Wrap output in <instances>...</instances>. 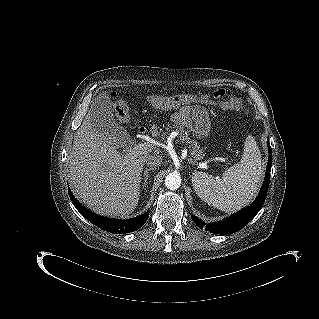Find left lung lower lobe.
I'll list each match as a JSON object with an SVG mask.
<instances>
[{
	"instance_id": "0a47b994",
	"label": "left lung lower lobe",
	"mask_w": 319,
	"mask_h": 319,
	"mask_svg": "<svg viewBox=\"0 0 319 319\" xmlns=\"http://www.w3.org/2000/svg\"><path fill=\"white\" fill-rule=\"evenodd\" d=\"M268 151H269V158H268V164L266 168V174L265 179L262 185V188L260 190V193L256 200L246 209L236 213L235 215L230 216L226 220L220 221V222H214L205 224L202 220L195 217L194 215L191 216L193 222L200 228L211 232L215 234H231L234 232L239 231L242 229L245 225H247L260 211L262 208L268 187H269V181H270V170L272 165V151L269 144V139L267 141Z\"/></svg>"
}]
</instances>
